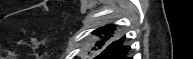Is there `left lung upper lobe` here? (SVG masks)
Returning a JSON list of instances; mask_svg holds the SVG:
<instances>
[{"mask_svg":"<svg viewBox=\"0 0 193 59\" xmlns=\"http://www.w3.org/2000/svg\"><path fill=\"white\" fill-rule=\"evenodd\" d=\"M114 30H115V26L114 25H109V26H106V27H103V28H100V29H97V30H95V31H93L92 32V34H96V35H101V34H104L105 36L106 35H108V34H110V33H114ZM101 37V36H100ZM109 38L110 37H105L103 40H101V41H99V42H97L96 44H95V46H96V48H94L95 50H99V49H104L106 46H107V44H108V40H109ZM115 42H113L112 44H110L107 48H110L113 44H114ZM106 48V49H107ZM105 49V50H106ZM104 52V51H103ZM102 52V53H103ZM101 53V54H102ZM100 54V55H101ZM99 55V56H100ZM98 56V57H99Z\"/></svg>","mask_w":193,"mask_h":59,"instance_id":"1","label":"left lung upper lobe"}]
</instances>
